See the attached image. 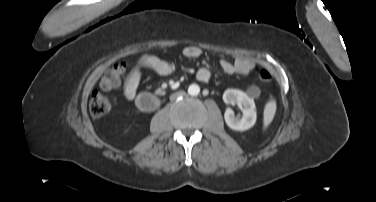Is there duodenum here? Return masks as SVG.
<instances>
[{
	"label": "duodenum",
	"mask_w": 376,
	"mask_h": 202,
	"mask_svg": "<svg viewBox=\"0 0 376 202\" xmlns=\"http://www.w3.org/2000/svg\"><path fill=\"white\" fill-rule=\"evenodd\" d=\"M135 104L141 111L152 112L157 109L159 101L156 96L143 93L136 97Z\"/></svg>",
	"instance_id": "410a0bca"
}]
</instances>
